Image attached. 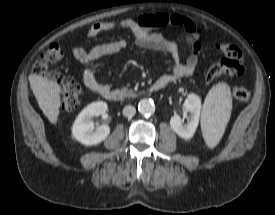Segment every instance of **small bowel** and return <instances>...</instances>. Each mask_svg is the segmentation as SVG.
I'll return each instance as SVG.
<instances>
[{"mask_svg": "<svg viewBox=\"0 0 275 215\" xmlns=\"http://www.w3.org/2000/svg\"><path fill=\"white\" fill-rule=\"evenodd\" d=\"M167 16L164 14H144L138 19H126L121 22H97L87 31L88 38H94L98 34L115 29L130 30L138 47L163 52L169 55L174 66L172 73L163 75L161 78L171 83L175 79L186 78L196 69L199 54L202 48V37L197 27L191 22L192 29H184L180 34L190 47L191 53L186 61H182L178 45L154 29L166 24ZM127 48V42L123 39L102 43L92 47L75 46L74 57L83 65L82 79L84 85L90 90L101 94L109 90V86L100 82L93 69L92 64L101 57L116 54Z\"/></svg>", "mask_w": 275, "mask_h": 215, "instance_id": "obj_1", "label": "small bowel"}]
</instances>
